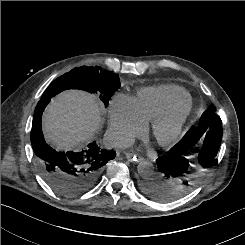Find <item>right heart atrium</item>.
Returning a JSON list of instances; mask_svg holds the SVG:
<instances>
[{
  "mask_svg": "<svg viewBox=\"0 0 245 245\" xmlns=\"http://www.w3.org/2000/svg\"><path fill=\"white\" fill-rule=\"evenodd\" d=\"M146 129V122L138 113L134 98L114 95L108 106V135L119 146L129 145Z\"/></svg>",
  "mask_w": 245,
  "mask_h": 245,
  "instance_id": "d8ad5b80",
  "label": "right heart atrium"
}]
</instances>
